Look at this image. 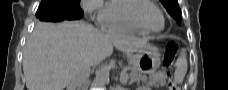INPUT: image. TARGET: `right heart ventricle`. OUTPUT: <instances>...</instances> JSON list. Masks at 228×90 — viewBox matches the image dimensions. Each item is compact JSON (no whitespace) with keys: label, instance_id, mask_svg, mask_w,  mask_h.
<instances>
[{"label":"right heart ventricle","instance_id":"right-heart-ventricle-1","mask_svg":"<svg viewBox=\"0 0 228 90\" xmlns=\"http://www.w3.org/2000/svg\"><path fill=\"white\" fill-rule=\"evenodd\" d=\"M141 0H110L104 7L103 25L106 29L118 32L146 34L130 16L133 7Z\"/></svg>","mask_w":228,"mask_h":90}]
</instances>
